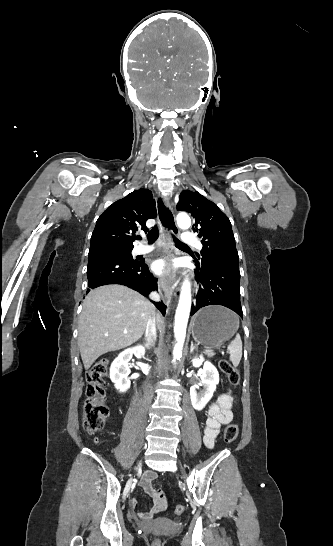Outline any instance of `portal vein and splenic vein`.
<instances>
[{"mask_svg": "<svg viewBox=\"0 0 333 546\" xmlns=\"http://www.w3.org/2000/svg\"><path fill=\"white\" fill-rule=\"evenodd\" d=\"M204 352H205V353H208V352H210V350H205Z\"/></svg>", "mask_w": 333, "mask_h": 546, "instance_id": "18ae733b", "label": "portal vein and splenic vein"}]
</instances>
